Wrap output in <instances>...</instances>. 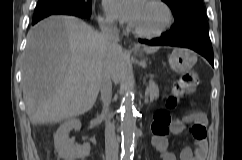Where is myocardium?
<instances>
[{
    "instance_id": "1",
    "label": "myocardium",
    "mask_w": 242,
    "mask_h": 160,
    "mask_svg": "<svg viewBox=\"0 0 242 160\" xmlns=\"http://www.w3.org/2000/svg\"><path fill=\"white\" fill-rule=\"evenodd\" d=\"M149 1L159 6L164 11L165 20L163 24L158 29L153 31H145L131 26V31L137 36L151 39V38H156L161 36L172 26L174 22V13L170 5L165 0H149Z\"/></svg>"
}]
</instances>
